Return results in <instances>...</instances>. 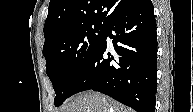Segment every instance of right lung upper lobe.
I'll list each match as a JSON object with an SVG mask.
<instances>
[{
	"label": "right lung upper lobe",
	"mask_w": 193,
	"mask_h": 112,
	"mask_svg": "<svg viewBox=\"0 0 193 112\" xmlns=\"http://www.w3.org/2000/svg\"><path fill=\"white\" fill-rule=\"evenodd\" d=\"M139 0H50L44 25L45 42L59 31L82 23L109 24Z\"/></svg>",
	"instance_id": "1"
}]
</instances>
